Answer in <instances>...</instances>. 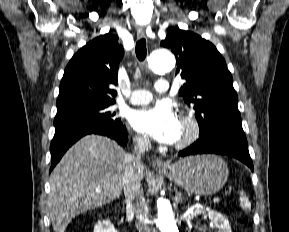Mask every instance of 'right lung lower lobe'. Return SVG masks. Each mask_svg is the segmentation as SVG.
Instances as JSON below:
<instances>
[{"mask_svg": "<svg viewBox=\"0 0 289 232\" xmlns=\"http://www.w3.org/2000/svg\"><path fill=\"white\" fill-rule=\"evenodd\" d=\"M91 133L108 136L116 140L120 145L123 146L126 145L128 140L127 132L122 123L99 127L73 126L55 130V135L50 145V152H51L50 172L71 145H73L81 137Z\"/></svg>", "mask_w": 289, "mask_h": 232, "instance_id": "right-lung-lower-lobe-1", "label": "right lung lower lobe"}]
</instances>
